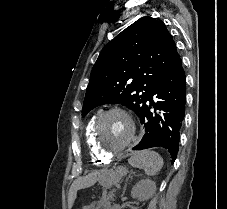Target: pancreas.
I'll return each instance as SVG.
<instances>
[{
  "label": "pancreas",
  "instance_id": "cf45deb5",
  "mask_svg": "<svg viewBox=\"0 0 227 209\" xmlns=\"http://www.w3.org/2000/svg\"><path fill=\"white\" fill-rule=\"evenodd\" d=\"M112 205L110 204V203H103L101 206H99V207H91L90 209H108V208H110Z\"/></svg>",
  "mask_w": 227,
  "mask_h": 209
}]
</instances>
